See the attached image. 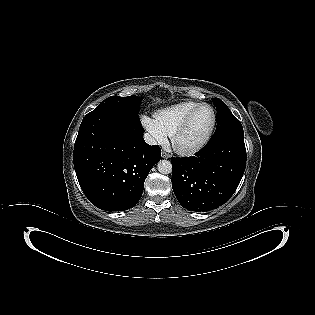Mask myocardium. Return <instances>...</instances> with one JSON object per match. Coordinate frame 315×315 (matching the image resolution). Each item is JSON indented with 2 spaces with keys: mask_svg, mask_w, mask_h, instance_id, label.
Returning <instances> with one entry per match:
<instances>
[{
  "mask_svg": "<svg viewBox=\"0 0 315 315\" xmlns=\"http://www.w3.org/2000/svg\"><path fill=\"white\" fill-rule=\"evenodd\" d=\"M202 107H208L212 111L213 120H212V124H211V127H210L209 131L207 132L205 137L198 144H196V145H194L192 147H189V148L180 147L178 145L179 137L185 132V130L189 126V124H190L192 118L194 117V115L196 114V112ZM216 123H217V114H216L215 108L212 105L208 104V103H200V104H198L196 107H194L186 115V117L182 120V122L178 125V127L175 129L174 133L172 134V145H173L174 149L178 153H180L182 155H186V156L193 155V154L199 152L210 141V139H211V137L213 135V132L215 130Z\"/></svg>",
  "mask_w": 315,
  "mask_h": 315,
  "instance_id": "f54148a6",
  "label": "myocardium"
}]
</instances>
